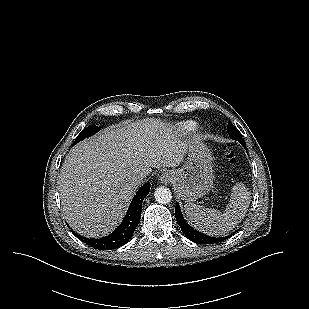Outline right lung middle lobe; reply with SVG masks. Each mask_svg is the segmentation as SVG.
<instances>
[{"instance_id": "1", "label": "right lung middle lobe", "mask_w": 309, "mask_h": 309, "mask_svg": "<svg viewBox=\"0 0 309 309\" xmlns=\"http://www.w3.org/2000/svg\"><path fill=\"white\" fill-rule=\"evenodd\" d=\"M100 130V126L97 127L96 125H90L88 126L86 129H84L77 137L76 140L74 142V144H76L77 142L81 141L82 139L93 135L94 133H96L97 131Z\"/></svg>"}]
</instances>
